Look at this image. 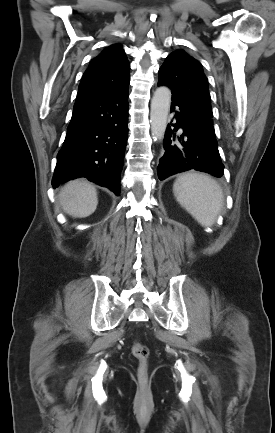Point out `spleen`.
I'll return each mask as SVG.
<instances>
[{
  "mask_svg": "<svg viewBox=\"0 0 275 433\" xmlns=\"http://www.w3.org/2000/svg\"><path fill=\"white\" fill-rule=\"evenodd\" d=\"M173 192L184 207L203 226L214 224L223 205V192L218 183L204 174L179 176Z\"/></svg>",
  "mask_w": 275,
  "mask_h": 433,
  "instance_id": "3e777b00",
  "label": "spleen"
}]
</instances>
